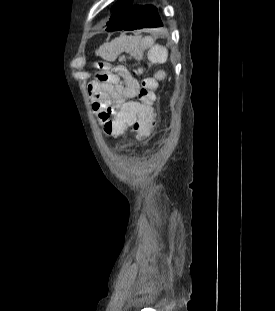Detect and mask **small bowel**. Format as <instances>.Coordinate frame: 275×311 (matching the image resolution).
Masks as SVG:
<instances>
[{"instance_id":"c3829d8e","label":"small bowel","mask_w":275,"mask_h":311,"mask_svg":"<svg viewBox=\"0 0 275 311\" xmlns=\"http://www.w3.org/2000/svg\"><path fill=\"white\" fill-rule=\"evenodd\" d=\"M98 54L103 59L114 57L119 64L112 67L105 80L89 84L94 113L102 124L104 119L129 118V128L133 133H139V139H151L155 127L153 101L139 97V83L122 63L141 57H150V62H171L169 50L155 45L150 36L143 39L121 36L105 43ZM136 64L140 67L143 63L139 60ZM163 77L164 73L160 71L152 79L157 85ZM118 131L123 134L126 130Z\"/></svg>"}]
</instances>
